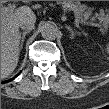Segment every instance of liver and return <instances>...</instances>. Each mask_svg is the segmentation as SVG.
Here are the masks:
<instances>
[{
	"label": "liver",
	"instance_id": "6515ba94",
	"mask_svg": "<svg viewBox=\"0 0 109 109\" xmlns=\"http://www.w3.org/2000/svg\"><path fill=\"white\" fill-rule=\"evenodd\" d=\"M24 21H36L29 7H20L14 13L1 19V76L6 78L16 68L19 60V26Z\"/></svg>",
	"mask_w": 109,
	"mask_h": 109
}]
</instances>
